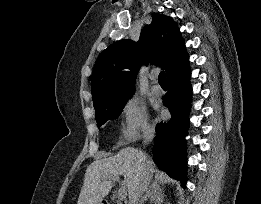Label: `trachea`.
Masks as SVG:
<instances>
[{"mask_svg": "<svg viewBox=\"0 0 261 204\" xmlns=\"http://www.w3.org/2000/svg\"><path fill=\"white\" fill-rule=\"evenodd\" d=\"M158 80L160 84H167V79L164 71L160 72Z\"/></svg>", "mask_w": 261, "mask_h": 204, "instance_id": "trachea-1", "label": "trachea"}]
</instances>
